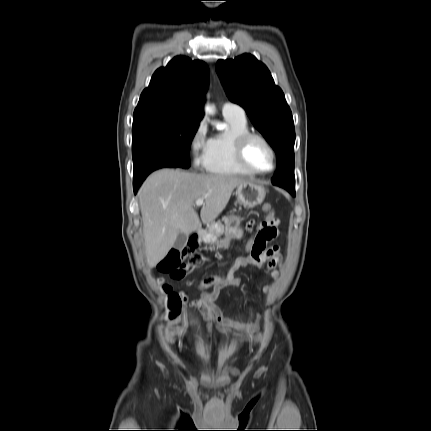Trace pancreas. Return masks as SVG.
<instances>
[{"label":"pancreas","instance_id":"1","mask_svg":"<svg viewBox=\"0 0 431 431\" xmlns=\"http://www.w3.org/2000/svg\"><path fill=\"white\" fill-rule=\"evenodd\" d=\"M223 220L226 221V218H223ZM210 231L215 235L220 236L223 233V226L220 222H214L211 225Z\"/></svg>","mask_w":431,"mask_h":431}]
</instances>
